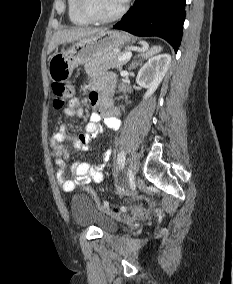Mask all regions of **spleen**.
<instances>
[{
    "label": "spleen",
    "instance_id": "spleen-1",
    "mask_svg": "<svg viewBox=\"0 0 233 284\" xmlns=\"http://www.w3.org/2000/svg\"><path fill=\"white\" fill-rule=\"evenodd\" d=\"M159 51H161V47H152L145 55L144 57H149L152 56L155 53H158Z\"/></svg>",
    "mask_w": 233,
    "mask_h": 284
}]
</instances>
